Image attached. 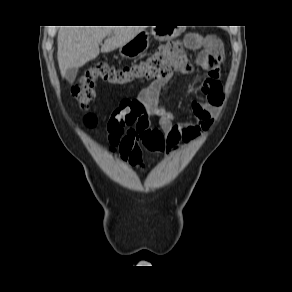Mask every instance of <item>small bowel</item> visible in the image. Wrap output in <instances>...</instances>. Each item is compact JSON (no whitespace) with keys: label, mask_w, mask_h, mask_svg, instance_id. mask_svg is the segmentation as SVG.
I'll return each mask as SVG.
<instances>
[{"label":"small bowel","mask_w":292,"mask_h":292,"mask_svg":"<svg viewBox=\"0 0 292 292\" xmlns=\"http://www.w3.org/2000/svg\"><path fill=\"white\" fill-rule=\"evenodd\" d=\"M197 47L204 51L198 58L199 64L206 71L203 82V93L206 101L201 102L193 100L191 110L194 121L176 123L172 115L161 109L158 115L159 127L157 128L163 135L162 153L175 154L181 152L185 145L196 142L204 132H206L214 123L215 116L223 103V88L219 79L220 70L223 64V50L221 43L214 37L199 38ZM177 71H186V66L175 68ZM170 72L166 78L155 83L161 89L171 79ZM122 163L130 168L143 171L145 165L143 162L142 137L141 131L137 126L126 130L118 144Z\"/></svg>","instance_id":"c3829d8e"}]
</instances>
